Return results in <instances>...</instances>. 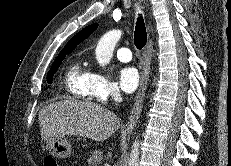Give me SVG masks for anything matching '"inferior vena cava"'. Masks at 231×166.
<instances>
[{"label": "inferior vena cava", "instance_id": "602c4592", "mask_svg": "<svg viewBox=\"0 0 231 166\" xmlns=\"http://www.w3.org/2000/svg\"><path fill=\"white\" fill-rule=\"evenodd\" d=\"M112 97H113V100H114L116 103H120L121 100H122L119 93H113Z\"/></svg>", "mask_w": 231, "mask_h": 166}]
</instances>
